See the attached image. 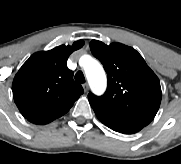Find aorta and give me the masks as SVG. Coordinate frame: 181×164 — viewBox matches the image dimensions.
I'll return each mask as SVG.
<instances>
[{
	"label": "aorta",
	"mask_w": 181,
	"mask_h": 164,
	"mask_svg": "<svg viewBox=\"0 0 181 164\" xmlns=\"http://www.w3.org/2000/svg\"><path fill=\"white\" fill-rule=\"evenodd\" d=\"M88 61L84 66V71L91 90L101 95L107 86V79L102 65L95 59L87 57Z\"/></svg>",
	"instance_id": "aorta-1"
}]
</instances>
